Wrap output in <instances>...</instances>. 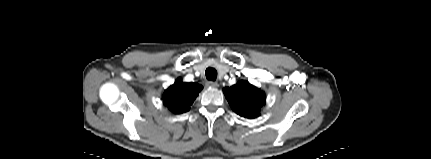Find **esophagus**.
Wrapping results in <instances>:
<instances>
[{
  "label": "esophagus",
  "instance_id": "34e87169",
  "mask_svg": "<svg viewBox=\"0 0 431 159\" xmlns=\"http://www.w3.org/2000/svg\"><path fill=\"white\" fill-rule=\"evenodd\" d=\"M206 85H207L208 87H212V88H217V87H218V83H217V82H215V81H208V82L206 83Z\"/></svg>",
  "mask_w": 431,
  "mask_h": 159
}]
</instances>
